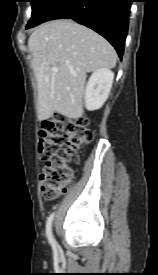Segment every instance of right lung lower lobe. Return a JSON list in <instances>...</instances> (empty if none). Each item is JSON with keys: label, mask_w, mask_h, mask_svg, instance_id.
I'll return each mask as SVG.
<instances>
[{"label": "right lung lower lobe", "mask_w": 158, "mask_h": 275, "mask_svg": "<svg viewBox=\"0 0 158 275\" xmlns=\"http://www.w3.org/2000/svg\"><path fill=\"white\" fill-rule=\"evenodd\" d=\"M130 6L131 0H56L34 26L54 19H72L101 34L121 57Z\"/></svg>", "instance_id": "98d812e1"}]
</instances>
